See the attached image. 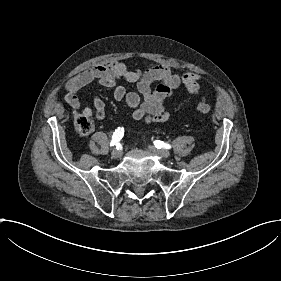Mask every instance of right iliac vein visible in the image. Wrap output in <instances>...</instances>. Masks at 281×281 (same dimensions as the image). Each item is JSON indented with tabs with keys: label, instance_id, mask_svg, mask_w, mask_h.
<instances>
[{
	"label": "right iliac vein",
	"instance_id": "1",
	"mask_svg": "<svg viewBox=\"0 0 281 281\" xmlns=\"http://www.w3.org/2000/svg\"><path fill=\"white\" fill-rule=\"evenodd\" d=\"M112 157L116 160L119 159L121 157V151L119 149L114 150L112 152Z\"/></svg>",
	"mask_w": 281,
	"mask_h": 281
}]
</instances>
